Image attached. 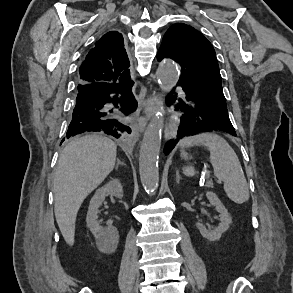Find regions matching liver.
Listing matches in <instances>:
<instances>
[{"instance_id": "obj_1", "label": "liver", "mask_w": 293, "mask_h": 293, "mask_svg": "<svg viewBox=\"0 0 293 293\" xmlns=\"http://www.w3.org/2000/svg\"><path fill=\"white\" fill-rule=\"evenodd\" d=\"M117 146L109 138L86 135L62 151L53 182L54 212L66 243L74 244L77 213L85 198L114 169Z\"/></svg>"}]
</instances>
